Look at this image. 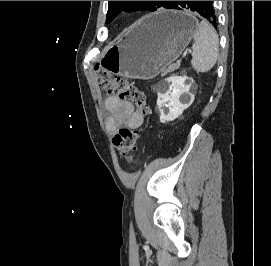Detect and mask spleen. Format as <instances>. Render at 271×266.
I'll return each mask as SVG.
<instances>
[{
  "label": "spleen",
  "mask_w": 271,
  "mask_h": 266,
  "mask_svg": "<svg viewBox=\"0 0 271 266\" xmlns=\"http://www.w3.org/2000/svg\"><path fill=\"white\" fill-rule=\"evenodd\" d=\"M195 48L191 65L197 73L210 71L216 64L219 54V39L214 28L202 20L194 33Z\"/></svg>",
  "instance_id": "3e777b00"
}]
</instances>
